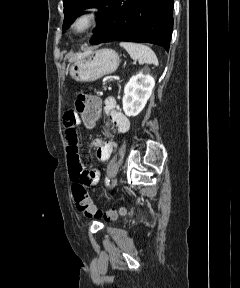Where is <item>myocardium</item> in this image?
<instances>
[{"label":"myocardium","instance_id":"obj_1","mask_svg":"<svg viewBox=\"0 0 240 288\" xmlns=\"http://www.w3.org/2000/svg\"><path fill=\"white\" fill-rule=\"evenodd\" d=\"M101 15V7L97 4H90L83 7L73 18L70 28L76 35H82L90 31L97 24ZM83 27L78 28V24Z\"/></svg>","mask_w":240,"mask_h":288}]
</instances>
